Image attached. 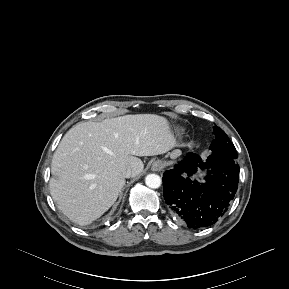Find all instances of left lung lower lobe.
Wrapping results in <instances>:
<instances>
[{
    "label": "left lung lower lobe",
    "mask_w": 289,
    "mask_h": 289,
    "mask_svg": "<svg viewBox=\"0 0 289 289\" xmlns=\"http://www.w3.org/2000/svg\"><path fill=\"white\" fill-rule=\"evenodd\" d=\"M198 169L207 170L203 183L190 179ZM239 170L235 160L220 162L209 156L203 161L199 155L188 153L163 174L166 204L189 228L211 226L227 212L234 199Z\"/></svg>",
    "instance_id": "0a47b994"
}]
</instances>
